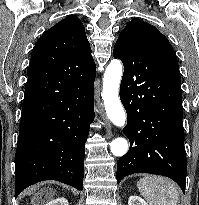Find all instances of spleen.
Here are the masks:
<instances>
[{
  "label": "spleen",
  "mask_w": 199,
  "mask_h": 205,
  "mask_svg": "<svg viewBox=\"0 0 199 205\" xmlns=\"http://www.w3.org/2000/svg\"><path fill=\"white\" fill-rule=\"evenodd\" d=\"M137 187L149 205H179L178 188L167 178L147 175L137 182Z\"/></svg>",
  "instance_id": "1"
}]
</instances>
